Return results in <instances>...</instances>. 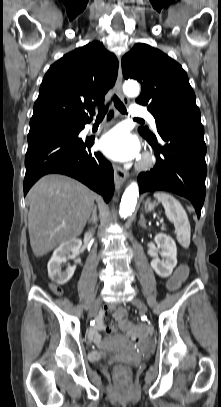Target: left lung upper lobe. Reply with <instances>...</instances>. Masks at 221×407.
<instances>
[{
  "label": "left lung upper lobe",
  "instance_id": "left-lung-upper-lobe-1",
  "mask_svg": "<svg viewBox=\"0 0 221 407\" xmlns=\"http://www.w3.org/2000/svg\"><path fill=\"white\" fill-rule=\"evenodd\" d=\"M125 79L141 83L136 102L147 106L156 126L178 117L200 119L195 94L182 67L160 50L138 43L122 59ZM145 136H154L148 128H139Z\"/></svg>",
  "mask_w": 221,
  "mask_h": 407
}]
</instances>
